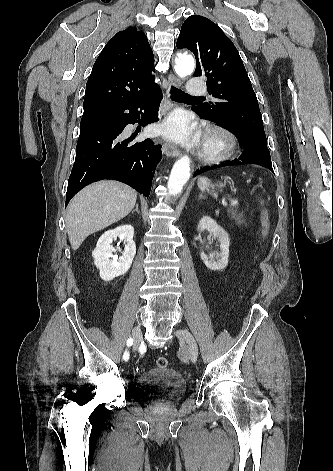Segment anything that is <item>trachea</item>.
I'll return each mask as SVG.
<instances>
[{
    "mask_svg": "<svg viewBox=\"0 0 333 471\" xmlns=\"http://www.w3.org/2000/svg\"><path fill=\"white\" fill-rule=\"evenodd\" d=\"M171 98L174 101L180 102V101L190 100V99H200L201 97L191 96V95L181 91L180 89H177L176 87L172 86Z\"/></svg>",
    "mask_w": 333,
    "mask_h": 471,
    "instance_id": "1",
    "label": "trachea"
}]
</instances>
